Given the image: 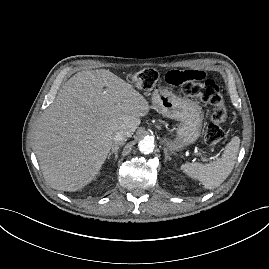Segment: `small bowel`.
<instances>
[{
  "instance_id": "small-bowel-1",
  "label": "small bowel",
  "mask_w": 269,
  "mask_h": 269,
  "mask_svg": "<svg viewBox=\"0 0 269 269\" xmlns=\"http://www.w3.org/2000/svg\"><path fill=\"white\" fill-rule=\"evenodd\" d=\"M207 78V73L205 71H195L193 68H184L171 72H164L162 74V79L164 81H170L171 83H179L186 80H205Z\"/></svg>"
}]
</instances>
